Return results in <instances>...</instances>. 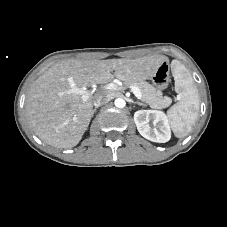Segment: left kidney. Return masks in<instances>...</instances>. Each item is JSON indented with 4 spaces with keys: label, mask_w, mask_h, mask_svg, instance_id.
Listing matches in <instances>:
<instances>
[{
    "label": "left kidney",
    "mask_w": 227,
    "mask_h": 227,
    "mask_svg": "<svg viewBox=\"0 0 227 227\" xmlns=\"http://www.w3.org/2000/svg\"><path fill=\"white\" fill-rule=\"evenodd\" d=\"M149 121L153 122V129ZM134 122L140 135L152 142L165 143L171 138L168 120L162 111L138 110L134 113Z\"/></svg>",
    "instance_id": "1"
}]
</instances>
